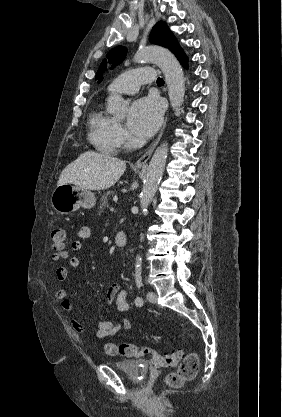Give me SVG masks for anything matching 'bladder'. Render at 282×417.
<instances>
[{
    "instance_id": "1",
    "label": "bladder",
    "mask_w": 282,
    "mask_h": 417,
    "mask_svg": "<svg viewBox=\"0 0 282 417\" xmlns=\"http://www.w3.org/2000/svg\"><path fill=\"white\" fill-rule=\"evenodd\" d=\"M123 372L133 383H141L150 373V365L144 359H128L110 363Z\"/></svg>"
}]
</instances>
